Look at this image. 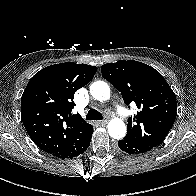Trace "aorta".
Wrapping results in <instances>:
<instances>
[{"instance_id": "762f6f07", "label": "aorta", "mask_w": 196, "mask_h": 196, "mask_svg": "<svg viewBox=\"0 0 196 196\" xmlns=\"http://www.w3.org/2000/svg\"><path fill=\"white\" fill-rule=\"evenodd\" d=\"M91 95L98 101H107L110 98V88L104 81H96L90 86ZM108 132L114 139H122L126 135V125L120 118H114L108 123Z\"/></svg>"}]
</instances>
